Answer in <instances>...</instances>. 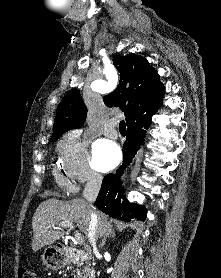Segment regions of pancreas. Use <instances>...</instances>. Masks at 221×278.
I'll use <instances>...</instances> for the list:
<instances>
[{"label": "pancreas", "mask_w": 221, "mask_h": 278, "mask_svg": "<svg viewBox=\"0 0 221 278\" xmlns=\"http://www.w3.org/2000/svg\"><path fill=\"white\" fill-rule=\"evenodd\" d=\"M79 266H81L82 264L80 262L77 263ZM93 273V269L87 267V266H83L82 271L77 269L76 270V274L74 275V278H91L90 274Z\"/></svg>", "instance_id": "obj_1"}]
</instances>
